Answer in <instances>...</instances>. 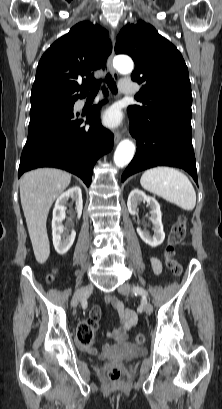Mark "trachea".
Here are the masks:
<instances>
[{
  "label": "trachea",
  "mask_w": 222,
  "mask_h": 409,
  "mask_svg": "<svg viewBox=\"0 0 222 409\" xmlns=\"http://www.w3.org/2000/svg\"><path fill=\"white\" fill-rule=\"evenodd\" d=\"M106 79H107V85H108V87L110 88V90L112 91V93H117L116 82H115L114 79L110 76V74H107ZM99 86H100V81L96 82V83L91 87L90 95H96V94L98 93Z\"/></svg>",
  "instance_id": "obj_1"
}]
</instances>
